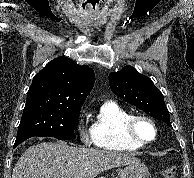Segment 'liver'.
<instances>
[{
    "label": "liver",
    "mask_w": 194,
    "mask_h": 178,
    "mask_svg": "<svg viewBox=\"0 0 194 178\" xmlns=\"http://www.w3.org/2000/svg\"><path fill=\"white\" fill-rule=\"evenodd\" d=\"M131 155L44 142L28 148L17 161L12 178H94L115 167L138 163Z\"/></svg>",
    "instance_id": "1"
}]
</instances>
